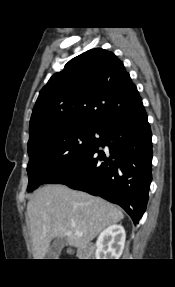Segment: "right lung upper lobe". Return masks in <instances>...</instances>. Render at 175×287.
<instances>
[{
	"label": "right lung upper lobe",
	"instance_id": "cb5924a9",
	"mask_svg": "<svg viewBox=\"0 0 175 287\" xmlns=\"http://www.w3.org/2000/svg\"><path fill=\"white\" fill-rule=\"evenodd\" d=\"M141 102L116 55L102 48L91 49L70 60L40 91L28 144L77 126H102Z\"/></svg>",
	"mask_w": 175,
	"mask_h": 287
}]
</instances>
